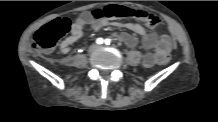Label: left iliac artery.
<instances>
[{
  "label": "left iliac artery",
  "mask_w": 218,
  "mask_h": 122,
  "mask_svg": "<svg viewBox=\"0 0 218 122\" xmlns=\"http://www.w3.org/2000/svg\"><path fill=\"white\" fill-rule=\"evenodd\" d=\"M110 43H111V39L107 38V39L105 40V44H106V45H109Z\"/></svg>",
  "instance_id": "44dca946"
}]
</instances>
